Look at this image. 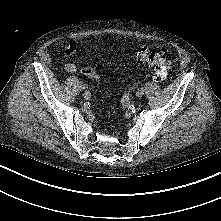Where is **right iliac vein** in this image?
Segmentation results:
<instances>
[{"label": "right iliac vein", "mask_w": 221, "mask_h": 221, "mask_svg": "<svg viewBox=\"0 0 221 221\" xmlns=\"http://www.w3.org/2000/svg\"><path fill=\"white\" fill-rule=\"evenodd\" d=\"M79 88H80V90H81V91H83V90H84L85 85H84V83H83V82H80V84H79Z\"/></svg>", "instance_id": "1"}]
</instances>
